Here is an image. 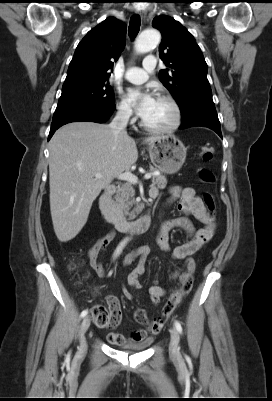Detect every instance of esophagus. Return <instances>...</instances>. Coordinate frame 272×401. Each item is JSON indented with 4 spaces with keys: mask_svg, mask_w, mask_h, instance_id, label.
I'll return each mask as SVG.
<instances>
[{
    "mask_svg": "<svg viewBox=\"0 0 272 401\" xmlns=\"http://www.w3.org/2000/svg\"><path fill=\"white\" fill-rule=\"evenodd\" d=\"M136 13L141 17L144 18L146 16V11L143 9H137Z\"/></svg>",
    "mask_w": 272,
    "mask_h": 401,
    "instance_id": "34e87169",
    "label": "esophagus"
}]
</instances>
